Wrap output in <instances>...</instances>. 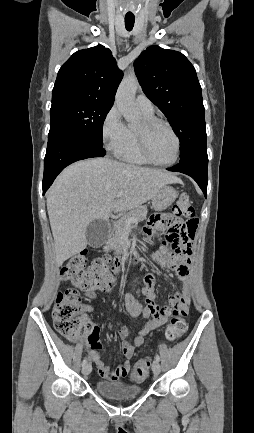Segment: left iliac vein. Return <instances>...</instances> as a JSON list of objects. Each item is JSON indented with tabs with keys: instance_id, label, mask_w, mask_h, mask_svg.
<instances>
[{
	"instance_id": "1",
	"label": "left iliac vein",
	"mask_w": 254,
	"mask_h": 433,
	"mask_svg": "<svg viewBox=\"0 0 254 433\" xmlns=\"http://www.w3.org/2000/svg\"><path fill=\"white\" fill-rule=\"evenodd\" d=\"M152 371H153V373L156 374V375H158V374L160 373V371H161V366H160L159 361H157V360H154V361H153V363H152Z\"/></svg>"
}]
</instances>
